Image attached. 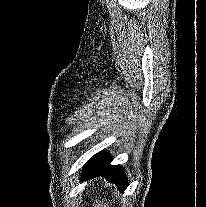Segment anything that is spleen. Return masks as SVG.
<instances>
[{"label": "spleen", "mask_w": 206, "mask_h": 207, "mask_svg": "<svg viewBox=\"0 0 206 207\" xmlns=\"http://www.w3.org/2000/svg\"><path fill=\"white\" fill-rule=\"evenodd\" d=\"M95 202H96V204L93 203L94 207H108V204L106 205V203H104L103 200L102 201L95 200Z\"/></svg>", "instance_id": "obj_1"}]
</instances>
